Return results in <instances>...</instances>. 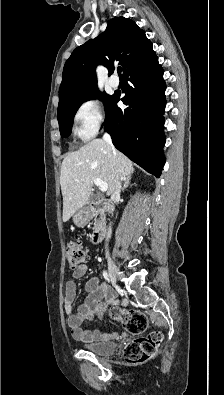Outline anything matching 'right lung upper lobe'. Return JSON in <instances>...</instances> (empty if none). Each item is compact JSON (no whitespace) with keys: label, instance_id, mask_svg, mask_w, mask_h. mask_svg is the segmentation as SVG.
Here are the masks:
<instances>
[{"label":"right lung upper lobe","instance_id":"right-lung-upper-lobe-1","mask_svg":"<svg viewBox=\"0 0 224 395\" xmlns=\"http://www.w3.org/2000/svg\"><path fill=\"white\" fill-rule=\"evenodd\" d=\"M151 50L152 43L134 21L125 17L109 20L102 34L78 46L66 61L58 108L79 94L97 87V65H104L112 73L114 63L118 62L124 74L134 62Z\"/></svg>","mask_w":224,"mask_h":395}]
</instances>
